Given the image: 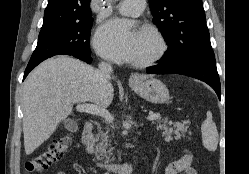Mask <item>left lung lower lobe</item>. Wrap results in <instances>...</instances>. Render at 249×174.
Returning <instances> with one entry per match:
<instances>
[{
  "label": "left lung lower lobe",
  "mask_w": 249,
  "mask_h": 174,
  "mask_svg": "<svg viewBox=\"0 0 249 174\" xmlns=\"http://www.w3.org/2000/svg\"><path fill=\"white\" fill-rule=\"evenodd\" d=\"M146 72L151 74H182L199 79L210 85L220 99L221 87L215 56L187 60L178 65H166L161 62L159 66L148 68Z\"/></svg>",
  "instance_id": "1"
}]
</instances>
